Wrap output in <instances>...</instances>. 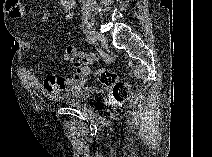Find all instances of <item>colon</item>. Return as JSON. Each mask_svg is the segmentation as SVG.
<instances>
[{
	"instance_id": "5ec220e1",
	"label": "colon",
	"mask_w": 212,
	"mask_h": 157,
	"mask_svg": "<svg viewBox=\"0 0 212 157\" xmlns=\"http://www.w3.org/2000/svg\"><path fill=\"white\" fill-rule=\"evenodd\" d=\"M65 60L76 68L73 78L84 83L88 77L87 67L95 66L97 57L94 54L84 53L74 46H68L64 54ZM101 83L105 86H112L113 97L119 104H122L130 95V87L127 83L118 80L117 74L106 68L98 70Z\"/></svg>"
}]
</instances>
